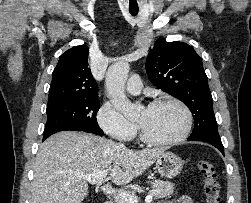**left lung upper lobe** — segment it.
Masks as SVG:
<instances>
[{"label": "left lung upper lobe", "instance_id": "5c2ea615", "mask_svg": "<svg viewBox=\"0 0 251 203\" xmlns=\"http://www.w3.org/2000/svg\"><path fill=\"white\" fill-rule=\"evenodd\" d=\"M149 80L181 100L194 117L191 138L220 139L201 57L188 44L159 38L146 61Z\"/></svg>", "mask_w": 251, "mask_h": 203}]
</instances>
